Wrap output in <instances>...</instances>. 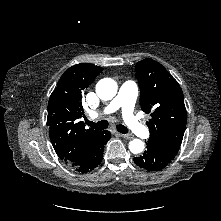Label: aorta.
Wrapping results in <instances>:
<instances>
[{
	"mask_svg": "<svg viewBox=\"0 0 221 221\" xmlns=\"http://www.w3.org/2000/svg\"><path fill=\"white\" fill-rule=\"evenodd\" d=\"M96 93L101 100H111L117 94V83L111 78H103L96 85ZM129 150L133 154L141 153L144 150V142L133 139L129 142Z\"/></svg>",
	"mask_w": 221,
	"mask_h": 221,
	"instance_id": "aorta-1",
	"label": "aorta"
}]
</instances>
